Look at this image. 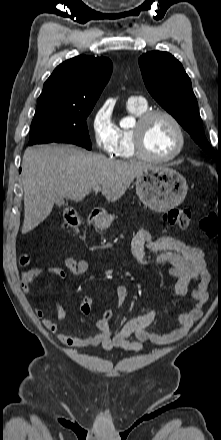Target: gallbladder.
<instances>
[{"label":"gallbladder","instance_id":"gallbladder-1","mask_svg":"<svg viewBox=\"0 0 221 440\" xmlns=\"http://www.w3.org/2000/svg\"><path fill=\"white\" fill-rule=\"evenodd\" d=\"M56 205H58V206L64 205V200L62 199V200L56 201Z\"/></svg>","mask_w":221,"mask_h":440}]
</instances>
